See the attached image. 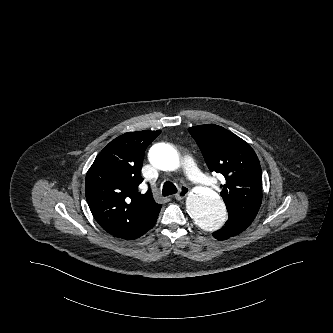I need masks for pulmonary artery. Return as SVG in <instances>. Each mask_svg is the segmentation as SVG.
<instances>
[{"label": "pulmonary artery", "mask_w": 333, "mask_h": 333, "mask_svg": "<svg viewBox=\"0 0 333 333\" xmlns=\"http://www.w3.org/2000/svg\"><path fill=\"white\" fill-rule=\"evenodd\" d=\"M182 162L185 174L190 181L203 187L212 185L211 181L199 170L192 157L185 156Z\"/></svg>", "instance_id": "obj_1"}]
</instances>
